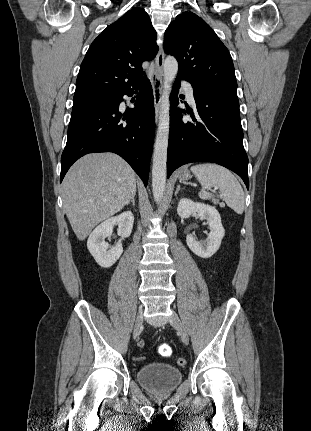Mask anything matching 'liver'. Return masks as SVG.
Segmentation results:
<instances>
[{"mask_svg": "<svg viewBox=\"0 0 311 431\" xmlns=\"http://www.w3.org/2000/svg\"><path fill=\"white\" fill-rule=\"evenodd\" d=\"M136 174L116 154H87L75 162L63 180L64 212L78 239L120 212L136 196Z\"/></svg>", "mask_w": 311, "mask_h": 431, "instance_id": "liver-1", "label": "liver"}]
</instances>
